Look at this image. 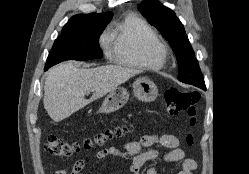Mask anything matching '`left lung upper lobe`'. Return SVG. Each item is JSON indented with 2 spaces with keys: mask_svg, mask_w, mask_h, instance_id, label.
Here are the masks:
<instances>
[{
  "mask_svg": "<svg viewBox=\"0 0 249 174\" xmlns=\"http://www.w3.org/2000/svg\"><path fill=\"white\" fill-rule=\"evenodd\" d=\"M139 11L168 40L179 65L178 80L187 84L203 81V76L189 43L184 27L175 13L158 0H145L138 5Z\"/></svg>",
  "mask_w": 249,
  "mask_h": 174,
  "instance_id": "5c2ea615",
  "label": "left lung upper lobe"
}]
</instances>
